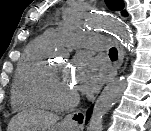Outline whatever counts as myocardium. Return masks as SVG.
<instances>
[{
	"label": "myocardium",
	"mask_w": 151,
	"mask_h": 131,
	"mask_svg": "<svg viewBox=\"0 0 151 131\" xmlns=\"http://www.w3.org/2000/svg\"><path fill=\"white\" fill-rule=\"evenodd\" d=\"M52 72L53 65L46 64L35 81L34 91L40 105L45 108L56 111L67 110L69 108L74 107L79 101L78 94H74L71 97L61 101L53 100L48 95L47 82Z\"/></svg>",
	"instance_id": "f54148a6"
}]
</instances>
